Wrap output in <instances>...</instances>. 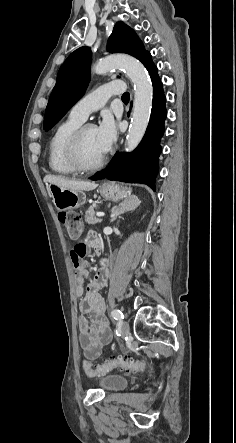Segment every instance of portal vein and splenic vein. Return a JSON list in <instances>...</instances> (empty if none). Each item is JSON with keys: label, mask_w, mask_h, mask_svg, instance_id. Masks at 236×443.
I'll return each instance as SVG.
<instances>
[{"label": "portal vein and splenic vein", "mask_w": 236, "mask_h": 443, "mask_svg": "<svg viewBox=\"0 0 236 443\" xmlns=\"http://www.w3.org/2000/svg\"><path fill=\"white\" fill-rule=\"evenodd\" d=\"M96 215H97L98 217H103L105 214H104L103 212H98Z\"/></svg>", "instance_id": "1"}]
</instances>
